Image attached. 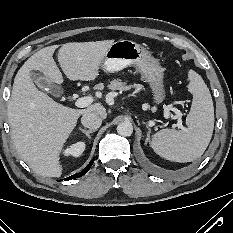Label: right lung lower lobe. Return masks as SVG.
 Returning a JSON list of instances; mask_svg holds the SVG:
<instances>
[{
    "mask_svg": "<svg viewBox=\"0 0 233 233\" xmlns=\"http://www.w3.org/2000/svg\"><path fill=\"white\" fill-rule=\"evenodd\" d=\"M94 159L95 158H93L92 161L81 172L76 173V174H74V175H72L70 177H67V178H65V180L75 179V178L81 177L84 174H86L89 171V169L91 168V166H92V164L94 162Z\"/></svg>",
    "mask_w": 233,
    "mask_h": 233,
    "instance_id": "1",
    "label": "right lung lower lobe"
}]
</instances>
